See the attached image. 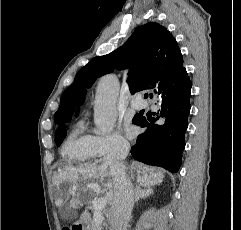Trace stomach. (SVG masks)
<instances>
[{
	"instance_id": "0dacf381",
	"label": "stomach",
	"mask_w": 241,
	"mask_h": 230,
	"mask_svg": "<svg viewBox=\"0 0 241 230\" xmlns=\"http://www.w3.org/2000/svg\"><path fill=\"white\" fill-rule=\"evenodd\" d=\"M76 226H78L80 230H90L89 221H87L85 218H81L76 223Z\"/></svg>"
}]
</instances>
